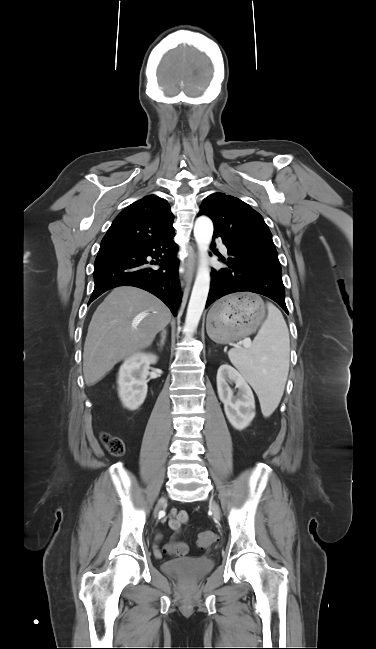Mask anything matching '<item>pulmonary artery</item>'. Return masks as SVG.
Masks as SVG:
<instances>
[{"label": "pulmonary artery", "instance_id": "e3ab8cb5", "mask_svg": "<svg viewBox=\"0 0 376 649\" xmlns=\"http://www.w3.org/2000/svg\"><path fill=\"white\" fill-rule=\"evenodd\" d=\"M219 246L224 253H227V248L222 243H219Z\"/></svg>", "mask_w": 376, "mask_h": 649}]
</instances>
